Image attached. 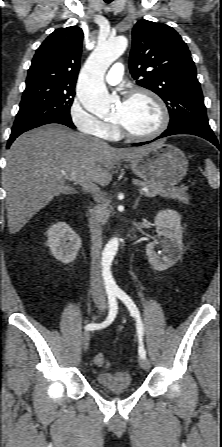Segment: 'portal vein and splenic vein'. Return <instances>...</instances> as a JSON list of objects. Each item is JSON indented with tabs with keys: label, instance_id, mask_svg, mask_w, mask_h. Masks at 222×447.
Returning a JSON list of instances; mask_svg holds the SVG:
<instances>
[{
	"label": "portal vein and splenic vein",
	"instance_id": "portal-vein-and-splenic-vein-1",
	"mask_svg": "<svg viewBox=\"0 0 222 447\" xmlns=\"http://www.w3.org/2000/svg\"><path fill=\"white\" fill-rule=\"evenodd\" d=\"M81 186H83V187H85V188H88L87 187V185L83 182V181H79L78 182ZM149 190H148V188L147 187H143L142 189H140V193H142V192H144V193H147Z\"/></svg>",
	"mask_w": 222,
	"mask_h": 447
}]
</instances>
